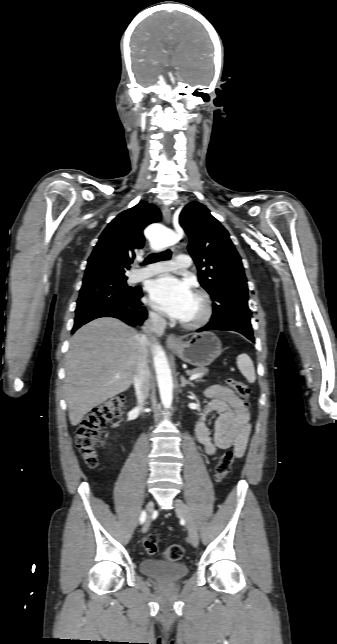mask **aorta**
Returning <instances> with one entry per match:
<instances>
[{
    "label": "aorta",
    "mask_w": 337,
    "mask_h": 644,
    "mask_svg": "<svg viewBox=\"0 0 337 644\" xmlns=\"http://www.w3.org/2000/svg\"><path fill=\"white\" fill-rule=\"evenodd\" d=\"M150 236L160 245H167L176 241L174 236L166 229L151 231ZM153 361L161 402L164 407L169 408L173 400L172 374L166 354L158 344L153 346Z\"/></svg>",
    "instance_id": "762f6f07"
}]
</instances>
